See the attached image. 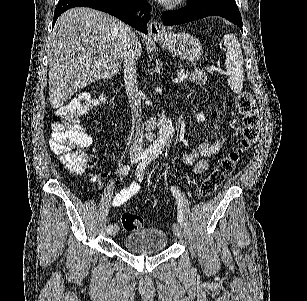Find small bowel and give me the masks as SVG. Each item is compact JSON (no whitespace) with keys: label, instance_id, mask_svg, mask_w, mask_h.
I'll list each match as a JSON object with an SVG mask.
<instances>
[{"label":"small bowel","instance_id":"obj_1","mask_svg":"<svg viewBox=\"0 0 307 301\" xmlns=\"http://www.w3.org/2000/svg\"><path fill=\"white\" fill-rule=\"evenodd\" d=\"M222 141L218 140L214 143H202L197 148L193 149L190 153L183 157V161L192 165L196 172L201 173L208 169L207 157L215 154L221 147ZM92 182H98L99 176L94 175L91 177ZM140 191V185L136 182L131 183L129 186L120 190L113 198L112 204L119 207L125 204L128 200L134 197Z\"/></svg>","mask_w":307,"mask_h":301}]
</instances>
